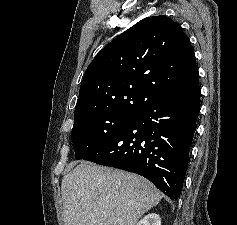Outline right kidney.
I'll return each mask as SVG.
<instances>
[{
  "mask_svg": "<svg viewBox=\"0 0 237 225\" xmlns=\"http://www.w3.org/2000/svg\"><path fill=\"white\" fill-rule=\"evenodd\" d=\"M136 225H161V218L156 213H150L144 216Z\"/></svg>",
  "mask_w": 237,
  "mask_h": 225,
  "instance_id": "1",
  "label": "right kidney"
}]
</instances>
